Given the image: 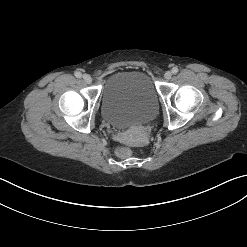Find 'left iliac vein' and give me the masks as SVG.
Returning <instances> with one entry per match:
<instances>
[{
	"label": "left iliac vein",
	"instance_id": "4c4485c4",
	"mask_svg": "<svg viewBox=\"0 0 247 247\" xmlns=\"http://www.w3.org/2000/svg\"><path fill=\"white\" fill-rule=\"evenodd\" d=\"M171 77H172V72H171V71H167V72L164 74V78H165L166 80H169Z\"/></svg>",
	"mask_w": 247,
	"mask_h": 247
}]
</instances>
